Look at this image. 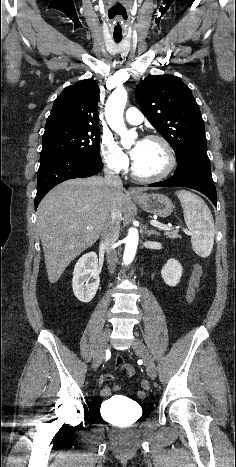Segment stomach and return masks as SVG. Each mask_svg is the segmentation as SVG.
<instances>
[{"label": "stomach", "instance_id": "obj_1", "mask_svg": "<svg viewBox=\"0 0 236 467\" xmlns=\"http://www.w3.org/2000/svg\"><path fill=\"white\" fill-rule=\"evenodd\" d=\"M132 199L147 213L168 217L173 212L172 201L163 194H142Z\"/></svg>", "mask_w": 236, "mask_h": 467}]
</instances>
